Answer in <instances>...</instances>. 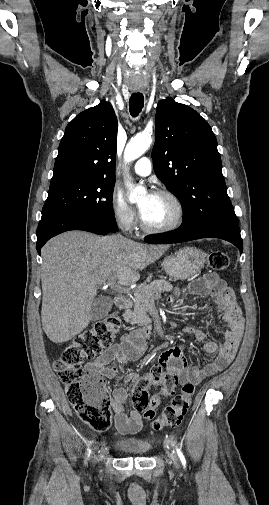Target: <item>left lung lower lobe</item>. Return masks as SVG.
I'll return each mask as SVG.
<instances>
[{"instance_id": "1", "label": "left lung lower lobe", "mask_w": 269, "mask_h": 505, "mask_svg": "<svg viewBox=\"0 0 269 505\" xmlns=\"http://www.w3.org/2000/svg\"><path fill=\"white\" fill-rule=\"evenodd\" d=\"M208 237L229 241L240 250V254L243 251L239 226L234 220H218L194 230L178 228L165 235L148 237L145 241L147 243H178Z\"/></svg>"}]
</instances>
